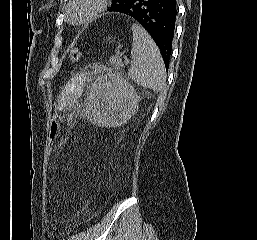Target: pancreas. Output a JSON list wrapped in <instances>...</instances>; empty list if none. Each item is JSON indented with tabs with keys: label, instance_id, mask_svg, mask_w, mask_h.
I'll return each instance as SVG.
<instances>
[{
	"label": "pancreas",
	"instance_id": "pancreas-1",
	"mask_svg": "<svg viewBox=\"0 0 257 240\" xmlns=\"http://www.w3.org/2000/svg\"><path fill=\"white\" fill-rule=\"evenodd\" d=\"M110 63H111V65H115L116 69L123 67V63L118 55L112 56L110 58Z\"/></svg>",
	"mask_w": 257,
	"mask_h": 240
}]
</instances>
